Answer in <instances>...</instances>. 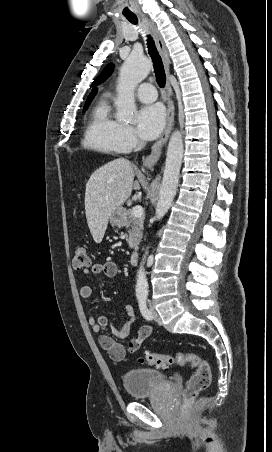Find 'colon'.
<instances>
[{
	"mask_svg": "<svg viewBox=\"0 0 272 452\" xmlns=\"http://www.w3.org/2000/svg\"><path fill=\"white\" fill-rule=\"evenodd\" d=\"M72 264L75 269H83L91 265V259L88 254L86 246L78 245L75 248ZM137 349H138L137 342L130 341L127 346V351L133 353ZM114 355L119 357L120 356L119 350H116L114 352ZM140 362L161 368H167L171 365L178 366L191 365L192 367H194L195 372L190 377L184 391L185 404H188L191 401H193L201 391L205 390L209 386L211 381V367L209 363L203 357L195 353L179 352L172 355L159 353H146L140 359Z\"/></svg>",
	"mask_w": 272,
	"mask_h": 452,
	"instance_id": "1",
	"label": "colon"
}]
</instances>
